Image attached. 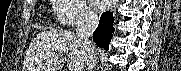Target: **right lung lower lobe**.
Returning a JSON list of instances; mask_svg holds the SVG:
<instances>
[{"mask_svg": "<svg viewBox=\"0 0 181 71\" xmlns=\"http://www.w3.org/2000/svg\"><path fill=\"white\" fill-rule=\"evenodd\" d=\"M113 23V13L107 11L101 15L99 25L93 33L94 42L105 50L109 49V41H111L112 35L114 33Z\"/></svg>", "mask_w": 181, "mask_h": 71, "instance_id": "1", "label": "right lung lower lobe"}]
</instances>
